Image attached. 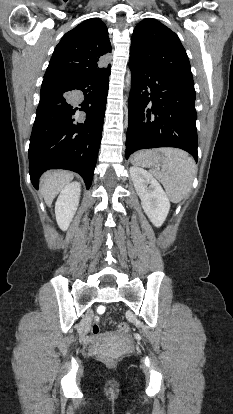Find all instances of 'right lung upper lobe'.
I'll use <instances>...</instances> for the list:
<instances>
[{
	"mask_svg": "<svg viewBox=\"0 0 233 414\" xmlns=\"http://www.w3.org/2000/svg\"><path fill=\"white\" fill-rule=\"evenodd\" d=\"M111 44L106 25L98 18L83 21L56 46L44 78L72 80L110 69Z\"/></svg>",
	"mask_w": 233,
	"mask_h": 414,
	"instance_id": "right-lung-upper-lobe-1",
	"label": "right lung upper lobe"
}]
</instances>
